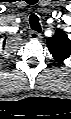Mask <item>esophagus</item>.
<instances>
[{
  "instance_id": "obj_1",
  "label": "esophagus",
  "mask_w": 71,
  "mask_h": 119,
  "mask_svg": "<svg viewBox=\"0 0 71 119\" xmlns=\"http://www.w3.org/2000/svg\"><path fill=\"white\" fill-rule=\"evenodd\" d=\"M29 36L31 39H41V37H42L41 34L36 31L30 32Z\"/></svg>"
}]
</instances>
